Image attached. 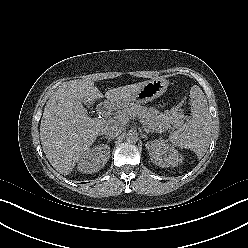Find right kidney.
<instances>
[{
  "instance_id": "right-kidney-1",
  "label": "right kidney",
  "mask_w": 248,
  "mask_h": 248,
  "mask_svg": "<svg viewBox=\"0 0 248 248\" xmlns=\"http://www.w3.org/2000/svg\"><path fill=\"white\" fill-rule=\"evenodd\" d=\"M110 157V147L108 145H97L92 149H87L78 161V171L85 174H92L101 170Z\"/></svg>"
}]
</instances>
